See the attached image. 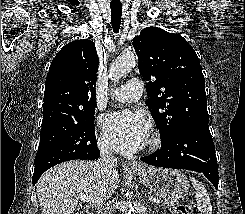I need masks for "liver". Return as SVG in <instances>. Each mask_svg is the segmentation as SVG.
<instances>
[{"instance_id": "6515ba94", "label": "liver", "mask_w": 245, "mask_h": 214, "mask_svg": "<svg viewBox=\"0 0 245 214\" xmlns=\"http://www.w3.org/2000/svg\"><path fill=\"white\" fill-rule=\"evenodd\" d=\"M119 174L102 171L92 161H68L46 171L36 189L42 214H73L80 195L108 199L117 189Z\"/></svg>"}]
</instances>
